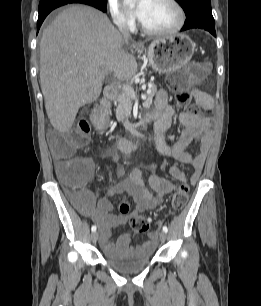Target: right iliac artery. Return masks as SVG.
I'll list each match as a JSON object with an SVG mask.
<instances>
[{"label": "right iliac artery", "instance_id": "obj_1", "mask_svg": "<svg viewBox=\"0 0 261 306\" xmlns=\"http://www.w3.org/2000/svg\"><path fill=\"white\" fill-rule=\"evenodd\" d=\"M96 229H97L96 226L93 225L92 228H91V231L94 232V231H96Z\"/></svg>", "mask_w": 261, "mask_h": 306}]
</instances>
